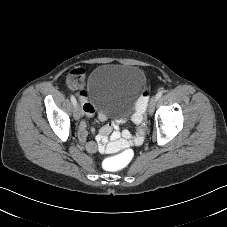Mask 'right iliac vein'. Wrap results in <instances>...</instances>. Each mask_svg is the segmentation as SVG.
<instances>
[{
  "mask_svg": "<svg viewBox=\"0 0 227 227\" xmlns=\"http://www.w3.org/2000/svg\"><path fill=\"white\" fill-rule=\"evenodd\" d=\"M73 116L75 120H79L81 117V109L79 105H76L73 110Z\"/></svg>",
  "mask_w": 227,
  "mask_h": 227,
  "instance_id": "63e3f726",
  "label": "right iliac vein"
}]
</instances>
